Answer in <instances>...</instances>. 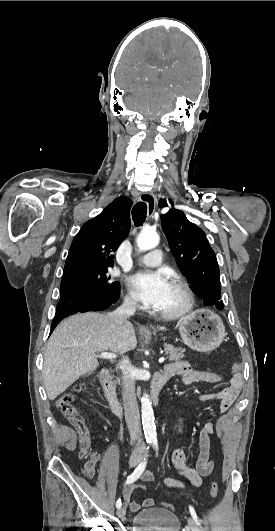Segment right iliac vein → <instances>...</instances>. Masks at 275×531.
Wrapping results in <instances>:
<instances>
[{
    "label": "right iliac vein",
    "mask_w": 275,
    "mask_h": 531,
    "mask_svg": "<svg viewBox=\"0 0 275 531\" xmlns=\"http://www.w3.org/2000/svg\"><path fill=\"white\" fill-rule=\"evenodd\" d=\"M141 459H142L141 455H136V454L132 455L130 457V460H129V467L130 468L136 467L139 464V462L141 461ZM125 514H126V511H125V509L123 507H120L117 510V516L120 517V518H123L125 516Z\"/></svg>",
    "instance_id": "1"
}]
</instances>
